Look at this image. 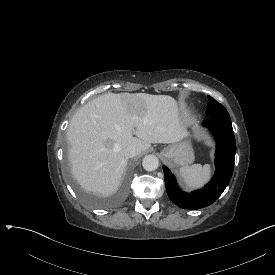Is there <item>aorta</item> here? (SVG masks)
Returning <instances> with one entry per match:
<instances>
[{
	"label": "aorta",
	"instance_id": "762f6f07",
	"mask_svg": "<svg viewBox=\"0 0 275 275\" xmlns=\"http://www.w3.org/2000/svg\"><path fill=\"white\" fill-rule=\"evenodd\" d=\"M159 166V159L156 155L149 154L143 159V167L147 171L156 170Z\"/></svg>",
	"mask_w": 275,
	"mask_h": 275
}]
</instances>
